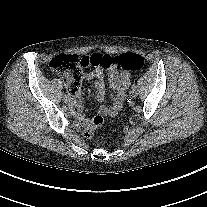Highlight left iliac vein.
<instances>
[{"instance_id": "obj_1", "label": "left iliac vein", "mask_w": 207, "mask_h": 207, "mask_svg": "<svg viewBox=\"0 0 207 207\" xmlns=\"http://www.w3.org/2000/svg\"><path fill=\"white\" fill-rule=\"evenodd\" d=\"M137 95H138V93H137L136 89H135V90H132L131 93H130V96H131V98H133V99L136 98Z\"/></svg>"}]
</instances>
